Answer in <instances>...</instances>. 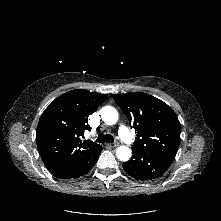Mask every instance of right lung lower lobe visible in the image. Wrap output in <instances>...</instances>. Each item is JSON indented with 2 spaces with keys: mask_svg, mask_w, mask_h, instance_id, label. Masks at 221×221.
I'll return each instance as SVG.
<instances>
[{
  "mask_svg": "<svg viewBox=\"0 0 221 221\" xmlns=\"http://www.w3.org/2000/svg\"><path fill=\"white\" fill-rule=\"evenodd\" d=\"M102 146L99 145L87 152L66 161L51 173L60 179H76L88 173L97 162Z\"/></svg>",
  "mask_w": 221,
  "mask_h": 221,
  "instance_id": "98d812e1",
  "label": "right lung lower lobe"
}]
</instances>
